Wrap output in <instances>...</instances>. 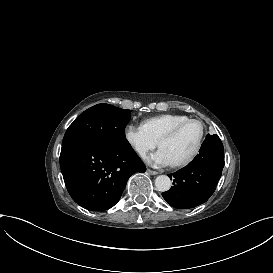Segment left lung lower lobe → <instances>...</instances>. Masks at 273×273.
Wrapping results in <instances>:
<instances>
[{
	"instance_id": "0a47b994",
	"label": "left lung lower lobe",
	"mask_w": 273,
	"mask_h": 273,
	"mask_svg": "<svg viewBox=\"0 0 273 273\" xmlns=\"http://www.w3.org/2000/svg\"><path fill=\"white\" fill-rule=\"evenodd\" d=\"M224 167V148L218 135L207 134L199 154L174 174L173 186L162 193L174 208H193L206 202L214 193Z\"/></svg>"
}]
</instances>
